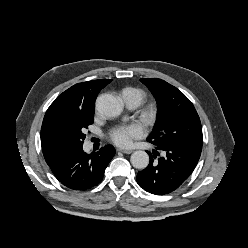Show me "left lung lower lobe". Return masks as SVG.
<instances>
[{
  "label": "left lung lower lobe",
  "mask_w": 248,
  "mask_h": 248,
  "mask_svg": "<svg viewBox=\"0 0 248 248\" xmlns=\"http://www.w3.org/2000/svg\"><path fill=\"white\" fill-rule=\"evenodd\" d=\"M156 149L162 151L163 156L155 162L159 152L149 153V165L138 172L137 183L149 193L165 195L176 190L192 174L201 150L170 144L156 145Z\"/></svg>",
  "instance_id": "0a47b994"
}]
</instances>
